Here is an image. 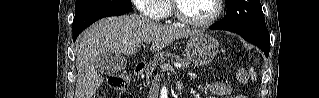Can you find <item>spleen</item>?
<instances>
[{
	"instance_id": "obj_1",
	"label": "spleen",
	"mask_w": 319,
	"mask_h": 98,
	"mask_svg": "<svg viewBox=\"0 0 319 98\" xmlns=\"http://www.w3.org/2000/svg\"><path fill=\"white\" fill-rule=\"evenodd\" d=\"M249 74H250L251 79L253 81L256 80V73H255V71L252 68L249 70Z\"/></svg>"
}]
</instances>
